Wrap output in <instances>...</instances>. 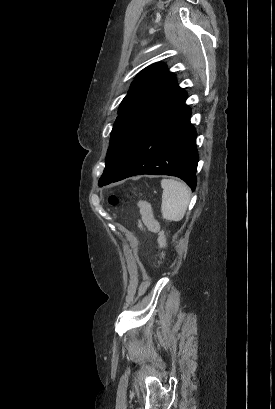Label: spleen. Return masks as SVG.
I'll return each instance as SVG.
<instances>
[{
    "label": "spleen",
    "instance_id": "obj_1",
    "mask_svg": "<svg viewBox=\"0 0 275 409\" xmlns=\"http://www.w3.org/2000/svg\"><path fill=\"white\" fill-rule=\"evenodd\" d=\"M162 202L161 213L166 221H181L190 202V188L185 182L163 178L161 180Z\"/></svg>",
    "mask_w": 275,
    "mask_h": 409
}]
</instances>
